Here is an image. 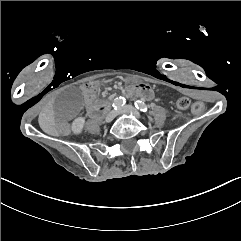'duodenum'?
I'll use <instances>...</instances> for the list:
<instances>
[{
  "instance_id": "obj_1",
  "label": "duodenum",
  "mask_w": 241,
  "mask_h": 241,
  "mask_svg": "<svg viewBox=\"0 0 241 241\" xmlns=\"http://www.w3.org/2000/svg\"><path fill=\"white\" fill-rule=\"evenodd\" d=\"M108 107H109L108 102H104V103H101L98 106H96L95 109L91 113L92 118H94V119L101 118Z\"/></svg>"
}]
</instances>
